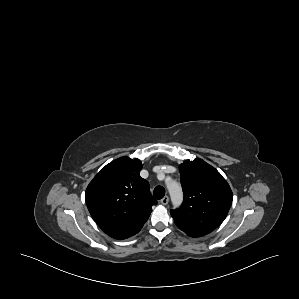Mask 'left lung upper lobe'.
Returning <instances> with one entry per match:
<instances>
[{
    "instance_id": "left-lung-upper-lobe-1",
    "label": "left lung upper lobe",
    "mask_w": 299,
    "mask_h": 299,
    "mask_svg": "<svg viewBox=\"0 0 299 299\" xmlns=\"http://www.w3.org/2000/svg\"><path fill=\"white\" fill-rule=\"evenodd\" d=\"M184 191L183 204L172 210L175 224L190 237L215 230L226 218L232 204V191L222 175L202 159L180 165Z\"/></svg>"
}]
</instances>
